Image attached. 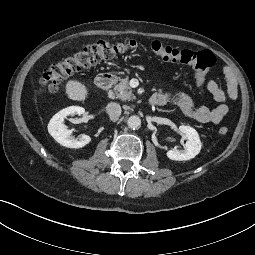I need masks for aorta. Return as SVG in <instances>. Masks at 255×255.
I'll return each instance as SVG.
<instances>
[{
	"instance_id": "aorta-1",
	"label": "aorta",
	"mask_w": 255,
	"mask_h": 255,
	"mask_svg": "<svg viewBox=\"0 0 255 255\" xmlns=\"http://www.w3.org/2000/svg\"><path fill=\"white\" fill-rule=\"evenodd\" d=\"M127 125L133 130L139 129L141 127V119L136 115L130 116L127 120Z\"/></svg>"
}]
</instances>
